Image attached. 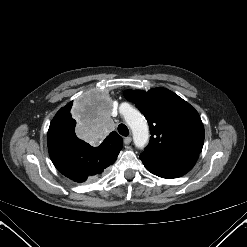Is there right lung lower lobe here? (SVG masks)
<instances>
[{
    "label": "right lung lower lobe",
    "instance_id": "1",
    "mask_svg": "<svg viewBox=\"0 0 247 247\" xmlns=\"http://www.w3.org/2000/svg\"><path fill=\"white\" fill-rule=\"evenodd\" d=\"M47 143L57 170L78 183L100 176L115 162L120 152L102 143L92 147L80 140L75 131L57 126L49 127Z\"/></svg>",
    "mask_w": 247,
    "mask_h": 247
}]
</instances>
